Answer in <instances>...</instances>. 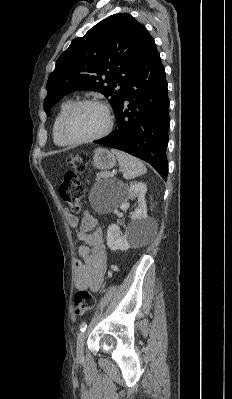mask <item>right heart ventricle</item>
Segmentation results:
<instances>
[{"mask_svg":"<svg viewBox=\"0 0 232 399\" xmlns=\"http://www.w3.org/2000/svg\"><path fill=\"white\" fill-rule=\"evenodd\" d=\"M72 103H73V101H66V102H63L61 105H59V107L57 108V111L55 113V116L53 119V124H52L53 141L58 147H61L64 149H70L75 146V144L71 143L64 136L62 129H61V121H62L63 115Z\"/></svg>","mask_w":232,"mask_h":399,"instance_id":"right-heart-ventricle-1","label":"right heart ventricle"}]
</instances>
